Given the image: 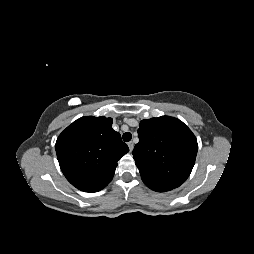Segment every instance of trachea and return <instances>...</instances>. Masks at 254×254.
Instances as JSON below:
<instances>
[{"label": "trachea", "instance_id": "obj_1", "mask_svg": "<svg viewBox=\"0 0 254 254\" xmlns=\"http://www.w3.org/2000/svg\"><path fill=\"white\" fill-rule=\"evenodd\" d=\"M122 138L125 142H129L132 138V134L130 132H126L123 134Z\"/></svg>", "mask_w": 254, "mask_h": 254}]
</instances>
